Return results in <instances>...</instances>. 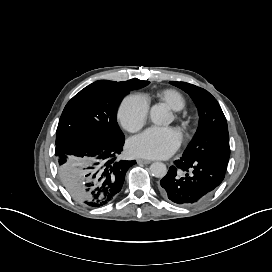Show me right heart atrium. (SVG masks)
Wrapping results in <instances>:
<instances>
[{"mask_svg":"<svg viewBox=\"0 0 272 272\" xmlns=\"http://www.w3.org/2000/svg\"><path fill=\"white\" fill-rule=\"evenodd\" d=\"M148 113L147 99L140 94H131L122 101L118 117L124 129L134 133L144 126Z\"/></svg>","mask_w":272,"mask_h":272,"instance_id":"d8ad5b80","label":"right heart atrium"}]
</instances>
